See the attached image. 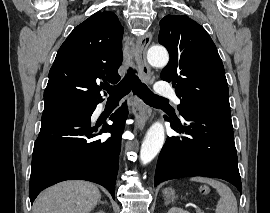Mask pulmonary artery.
Masks as SVG:
<instances>
[{
    "label": "pulmonary artery",
    "instance_id": "e3ab8cb5",
    "mask_svg": "<svg viewBox=\"0 0 270 213\" xmlns=\"http://www.w3.org/2000/svg\"><path fill=\"white\" fill-rule=\"evenodd\" d=\"M156 93L159 96H170L173 98L174 102L179 105L180 104V98L174 93L173 88L168 82H158L155 87Z\"/></svg>",
    "mask_w": 270,
    "mask_h": 213
}]
</instances>
